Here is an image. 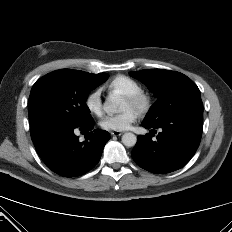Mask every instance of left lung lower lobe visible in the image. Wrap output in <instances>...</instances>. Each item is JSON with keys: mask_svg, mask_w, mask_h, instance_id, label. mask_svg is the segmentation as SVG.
<instances>
[{"mask_svg": "<svg viewBox=\"0 0 232 232\" xmlns=\"http://www.w3.org/2000/svg\"><path fill=\"white\" fill-rule=\"evenodd\" d=\"M146 129L161 128L156 139L151 130L137 137L132 150L134 161L143 169L156 174L169 173L182 168L195 154L201 140L203 110L196 108L176 113L158 124L142 122Z\"/></svg>", "mask_w": 232, "mask_h": 232, "instance_id": "obj_1", "label": "left lung lower lobe"}]
</instances>
